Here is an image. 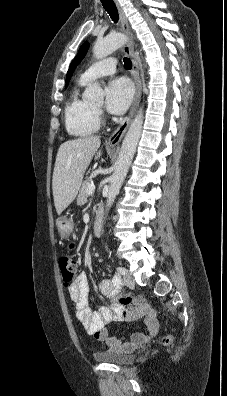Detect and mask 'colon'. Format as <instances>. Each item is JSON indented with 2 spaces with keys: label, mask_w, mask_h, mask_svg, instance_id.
<instances>
[{
  "label": "colon",
  "mask_w": 227,
  "mask_h": 396,
  "mask_svg": "<svg viewBox=\"0 0 227 396\" xmlns=\"http://www.w3.org/2000/svg\"><path fill=\"white\" fill-rule=\"evenodd\" d=\"M59 269L65 286H70L75 278L77 263L70 257L64 256L59 260ZM130 303V298L120 300V304ZM173 341L172 335H167L162 339L164 345H169Z\"/></svg>",
  "instance_id": "5ec220e1"
}]
</instances>
